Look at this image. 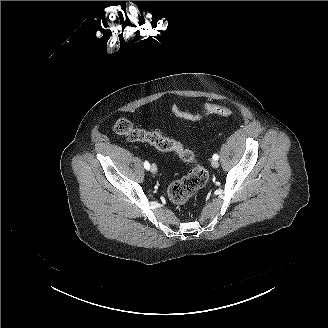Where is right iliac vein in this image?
I'll use <instances>...</instances> for the list:
<instances>
[{"label": "right iliac vein", "instance_id": "1", "mask_svg": "<svg viewBox=\"0 0 328 328\" xmlns=\"http://www.w3.org/2000/svg\"><path fill=\"white\" fill-rule=\"evenodd\" d=\"M157 170H158V169H157L156 164L153 163V164L151 165L150 171H151L152 173H156Z\"/></svg>", "mask_w": 328, "mask_h": 328}]
</instances>
